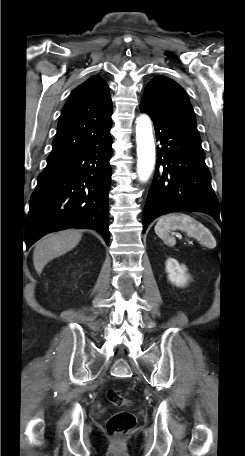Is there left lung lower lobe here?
Instances as JSON below:
<instances>
[{"mask_svg": "<svg viewBox=\"0 0 245 456\" xmlns=\"http://www.w3.org/2000/svg\"><path fill=\"white\" fill-rule=\"evenodd\" d=\"M152 118L157 164L143 211V232L157 217L176 211H198L219 221V202L211 187L199 133L140 106Z\"/></svg>", "mask_w": 245, "mask_h": 456, "instance_id": "1", "label": "left lung lower lobe"}]
</instances>
